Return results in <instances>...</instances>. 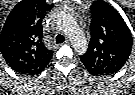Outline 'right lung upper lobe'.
I'll return each instance as SVG.
<instances>
[{
  "label": "right lung upper lobe",
  "instance_id": "obj_1",
  "mask_svg": "<svg viewBox=\"0 0 135 95\" xmlns=\"http://www.w3.org/2000/svg\"><path fill=\"white\" fill-rule=\"evenodd\" d=\"M44 11L35 7H15L0 34V51L15 71L39 74L53 52L42 41Z\"/></svg>",
  "mask_w": 135,
  "mask_h": 95
}]
</instances>
